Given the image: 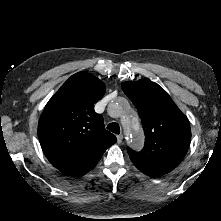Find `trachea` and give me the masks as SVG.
<instances>
[{
  "label": "trachea",
  "mask_w": 221,
  "mask_h": 221,
  "mask_svg": "<svg viewBox=\"0 0 221 221\" xmlns=\"http://www.w3.org/2000/svg\"><path fill=\"white\" fill-rule=\"evenodd\" d=\"M107 129L115 134H119L120 133V127L117 123H110L107 126Z\"/></svg>",
  "instance_id": "trachea-1"
}]
</instances>
